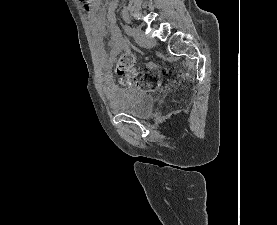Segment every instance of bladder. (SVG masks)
<instances>
[{
    "instance_id": "obj_1",
    "label": "bladder",
    "mask_w": 277,
    "mask_h": 225,
    "mask_svg": "<svg viewBox=\"0 0 277 225\" xmlns=\"http://www.w3.org/2000/svg\"><path fill=\"white\" fill-rule=\"evenodd\" d=\"M154 99L151 94L136 90L125 89L112 105V112L128 114L136 118H145L153 110Z\"/></svg>"
}]
</instances>
